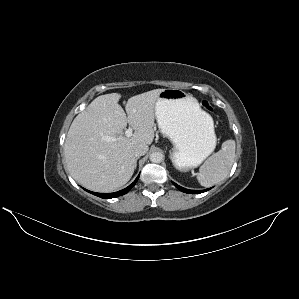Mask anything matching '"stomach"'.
<instances>
[{"label": "stomach", "instance_id": "1", "mask_svg": "<svg viewBox=\"0 0 299 299\" xmlns=\"http://www.w3.org/2000/svg\"><path fill=\"white\" fill-rule=\"evenodd\" d=\"M156 120L174 145L172 161L180 171L197 167L216 146L212 117L183 90L163 89L156 102Z\"/></svg>", "mask_w": 299, "mask_h": 299}]
</instances>
